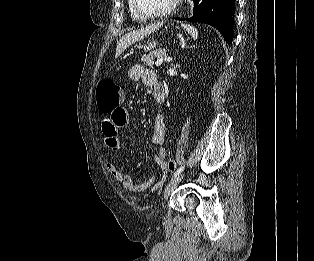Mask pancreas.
I'll list each match as a JSON object with an SVG mask.
<instances>
[{
    "label": "pancreas",
    "mask_w": 314,
    "mask_h": 261,
    "mask_svg": "<svg viewBox=\"0 0 314 261\" xmlns=\"http://www.w3.org/2000/svg\"><path fill=\"white\" fill-rule=\"evenodd\" d=\"M166 55L165 49H156L155 51L150 52L147 55H143L141 57V61L144 62L145 66L153 67L154 65V59L156 57H164Z\"/></svg>",
    "instance_id": "pancreas-1"
}]
</instances>
